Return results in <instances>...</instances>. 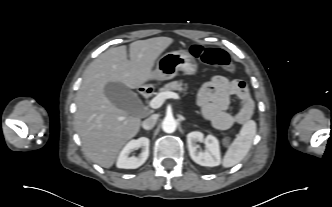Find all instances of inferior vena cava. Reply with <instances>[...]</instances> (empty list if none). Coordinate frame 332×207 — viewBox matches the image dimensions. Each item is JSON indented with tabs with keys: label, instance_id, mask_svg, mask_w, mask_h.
<instances>
[{
	"label": "inferior vena cava",
	"instance_id": "1",
	"mask_svg": "<svg viewBox=\"0 0 332 207\" xmlns=\"http://www.w3.org/2000/svg\"><path fill=\"white\" fill-rule=\"evenodd\" d=\"M156 121H157V117L155 115H152L142 122V127L145 130H150L155 126Z\"/></svg>",
	"mask_w": 332,
	"mask_h": 207
}]
</instances>
